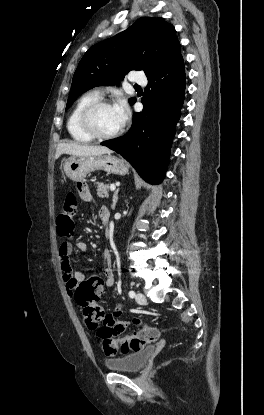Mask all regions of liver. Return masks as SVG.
<instances>
[{
	"instance_id": "obj_1",
	"label": "liver",
	"mask_w": 264,
	"mask_h": 415,
	"mask_svg": "<svg viewBox=\"0 0 264 415\" xmlns=\"http://www.w3.org/2000/svg\"><path fill=\"white\" fill-rule=\"evenodd\" d=\"M112 151L105 146L83 145L79 143H60L56 149L55 158L58 159L62 154L72 156H90L111 154Z\"/></svg>"
}]
</instances>
